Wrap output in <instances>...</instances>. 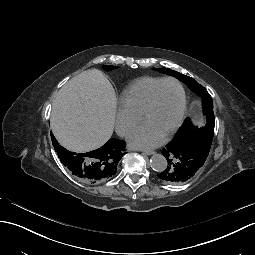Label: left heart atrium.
<instances>
[{
    "label": "left heart atrium",
    "mask_w": 255,
    "mask_h": 255,
    "mask_svg": "<svg viewBox=\"0 0 255 255\" xmlns=\"http://www.w3.org/2000/svg\"><path fill=\"white\" fill-rule=\"evenodd\" d=\"M162 141L163 138L159 134L144 124L135 127L129 135L131 145L139 148L155 147L161 144Z\"/></svg>",
    "instance_id": "left-heart-atrium-1"
}]
</instances>
